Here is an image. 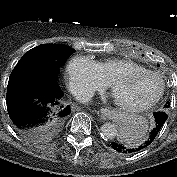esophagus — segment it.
I'll return each instance as SVG.
<instances>
[{"instance_id":"esophagus-1","label":"esophagus","mask_w":177,"mask_h":177,"mask_svg":"<svg viewBox=\"0 0 177 177\" xmlns=\"http://www.w3.org/2000/svg\"><path fill=\"white\" fill-rule=\"evenodd\" d=\"M100 113H101V117L105 118V117H109L112 114V111L109 108H101Z\"/></svg>"}]
</instances>
